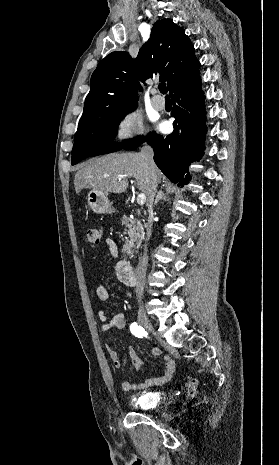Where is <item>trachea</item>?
I'll return each instance as SVG.
<instances>
[{
	"mask_svg": "<svg viewBox=\"0 0 279 465\" xmlns=\"http://www.w3.org/2000/svg\"><path fill=\"white\" fill-rule=\"evenodd\" d=\"M158 88H159V91H160L162 94H166V93H167V88H166V84H165V83H160Z\"/></svg>",
	"mask_w": 279,
	"mask_h": 465,
	"instance_id": "trachea-1",
	"label": "trachea"
}]
</instances>
